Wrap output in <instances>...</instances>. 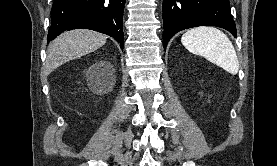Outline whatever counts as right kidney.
<instances>
[{
	"mask_svg": "<svg viewBox=\"0 0 277 166\" xmlns=\"http://www.w3.org/2000/svg\"><path fill=\"white\" fill-rule=\"evenodd\" d=\"M106 64L105 63H98L96 64V68H101V67H104Z\"/></svg>",
	"mask_w": 277,
	"mask_h": 166,
	"instance_id": "right-kidney-1",
	"label": "right kidney"
}]
</instances>
